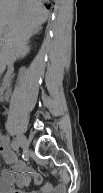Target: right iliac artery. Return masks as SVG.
<instances>
[{"label":"right iliac artery","mask_w":103,"mask_h":193,"mask_svg":"<svg viewBox=\"0 0 103 193\" xmlns=\"http://www.w3.org/2000/svg\"><path fill=\"white\" fill-rule=\"evenodd\" d=\"M11 146L14 150L18 151L20 144L17 141H12Z\"/></svg>","instance_id":"82829eb1"}]
</instances>
